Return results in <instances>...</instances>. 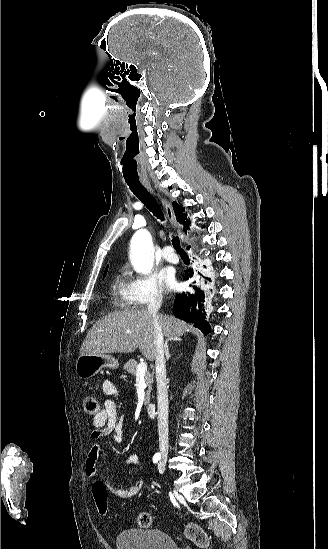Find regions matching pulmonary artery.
<instances>
[{
  "label": "pulmonary artery",
  "instance_id": "pulmonary-artery-1",
  "mask_svg": "<svg viewBox=\"0 0 328 549\" xmlns=\"http://www.w3.org/2000/svg\"><path fill=\"white\" fill-rule=\"evenodd\" d=\"M162 257L167 261V262H170V263H175L177 262L178 258L177 256L174 254L173 250L169 247L165 248L163 251H162Z\"/></svg>",
  "mask_w": 328,
  "mask_h": 549
}]
</instances>
